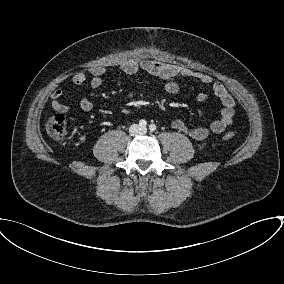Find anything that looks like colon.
I'll list each match as a JSON object with an SVG mask.
<instances>
[{
  "instance_id": "colon-1",
  "label": "colon",
  "mask_w": 284,
  "mask_h": 284,
  "mask_svg": "<svg viewBox=\"0 0 284 284\" xmlns=\"http://www.w3.org/2000/svg\"><path fill=\"white\" fill-rule=\"evenodd\" d=\"M47 133L56 140H61L66 134V118L60 113L52 114L45 123ZM235 137L234 132H227L223 135L226 141L232 140Z\"/></svg>"
}]
</instances>
